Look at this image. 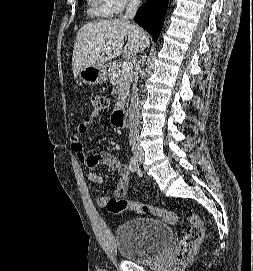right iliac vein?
<instances>
[{
    "label": "right iliac vein",
    "instance_id": "obj_1",
    "mask_svg": "<svg viewBox=\"0 0 253 271\" xmlns=\"http://www.w3.org/2000/svg\"><path fill=\"white\" fill-rule=\"evenodd\" d=\"M134 158L137 160V162H142L144 158V153L142 151H136L134 152Z\"/></svg>",
    "mask_w": 253,
    "mask_h": 271
}]
</instances>
